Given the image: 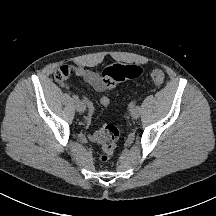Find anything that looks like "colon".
Listing matches in <instances>:
<instances>
[{
  "label": "colon",
  "mask_w": 216,
  "mask_h": 216,
  "mask_svg": "<svg viewBox=\"0 0 216 216\" xmlns=\"http://www.w3.org/2000/svg\"><path fill=\"white\" fill-rule=\"evenodd\" d=\"M142 73V68L135 64H111L102 71V80L108 90L114 88L119 82L137 78ZM74 74L71 66H61L54 75L55 80L63 84ZM150 79L156 86H161L165 80V74L161 69L153 68L150 71ZM119 130L112 124L103 125L95 136V141L100 146L99 159L102 162L109 161L115 153L119 140Z\"/></svg>",
  "instance_id": "colon-1"
}]
</instances>
